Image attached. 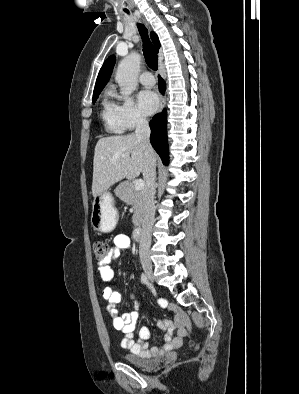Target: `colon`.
Instances as JSON below:
<instances>
[{
	"label": "colon",
	"instance_id": "1",
	"mask_svg": "<svg viewBox=\"0 0 299 394\" xmlns=\"http://www.w3.org/2000/svg\"><path fill=\"white\" fill-rule=\"evenodd\" d=\"M92 249L95 259L101 262L105 261L110 254V245L103 240H94Z\"/></svg>",
	"mask_w": 299,
	"mask_h": 394
}]
</instances>
